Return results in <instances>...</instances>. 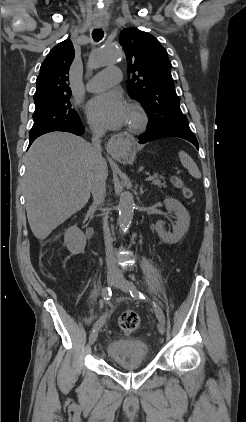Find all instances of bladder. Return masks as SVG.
I'll use <instances>...</instances> for the list:
<instances>
[{"mask_svg":"<svg viewBox=\"0 0 246 422\" xmlns=\"http://www.w3.org/2000/svg\"><path fill=\"white\" fill-rule=\"evenodd\" d=\"M108 358L118 366L145 364L148 361V347L145 343L129 338L113 339L106 346Z\"/></svg>","mask_w":246,"mask_h":422,"instance_id":"1","label":"bladder"}]
</instances>
